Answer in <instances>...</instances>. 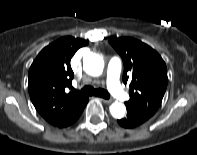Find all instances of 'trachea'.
<instances>
[{
    "instance_id": "obj_1",
    "label": "trachea",
    "mask_w": 197,
    "mask_h": 155,
    "mask_svg": "<svg viewBox=\"0 0 197 155\" xmlns=\"http://www.w3.org/2000/svg\"><path fill=\"white\" fill-rule=\"evenodd\" d=\"M80 92L84 95H95L98 97H102L104 99H109L110 98V94L108 93V91L104 90V89H94L91 86H85L83 89L80 90Z\"/></svg>"
}]
</instances>
